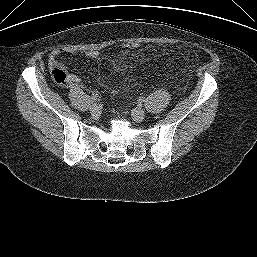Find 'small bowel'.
<instances>
[{"instance_id": "small-bowel-1", "label": "small bowel", "mask_w": 257, "mask_h": 257, "mask_svg": "<svg viewBox=\"0 0 257 257\" xmlns=\"http://www.w3.org/2000/svg\"><path fill=\"white\" fill-rule=\"evenodd\" d=\"M60 54H61L60 49H54L50 52L49 57H48V63L51 68L60 66L59 60H58ZM75 54H78L82 57L91 58V59H95L99 56V52L96 50H88V51H84V52H78ZM111 64H112V68L117 72L126 71L131 67V64L128 62H125V61H112ZM69 80H70V82H69L70 86H74L80 82V78L75 74H70Z\"/></svg>"}]
</instances>
